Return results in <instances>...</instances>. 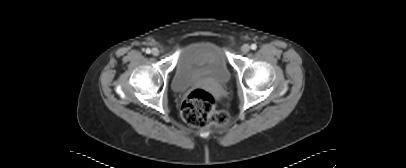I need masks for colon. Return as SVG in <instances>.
<instances>
[{
  "label": "colon",
  "instance_id": "colon-1",
  "mask_svg": "<svg viewBox=\"0 0 406 168\" xmlns=\"http://www.w3.org/2000/svg\"><path fill=\"white\" fill-rule=\"evenodd\" d=\"M183 119L190 125L204 128L210 125H226L230 116L226 111L216 110L213 93L202 88L191 91L181 105Z\"/></svg>",
  "mask_w": 406,
  "mask_h": 168
}]
</instances>
